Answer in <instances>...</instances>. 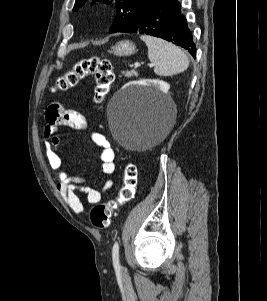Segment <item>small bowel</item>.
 Returning <instances> with one entry per match:
<instances>
[{"instance_id": "obj_1", "label": "small bowel", "mask_w": 267, "mask_h": 301, "mask_svg": "<svg viewBox=\"0 0 267 301\" xmlns=\"http://www.w3.org/2000/svg\"><path fill=\"white\" fill-rule=\"evenodd\" d=\"M43 136L45 156L50 168L57 178V188L65 203L77 214L84 211L79 193L86 196L88 203L97 204L101 201L104 193L113 186L111 178H106L99 189L90 188L85 185L82 178L74 177L62 166V159L57 152L56 145L59 141L57 132L61 127H69L75 130H85L87 121L85 116L79 111L67 109L59 103L51 104L45 113ZM91 141L100 149L99 161L101 171L105 175H112L115 171V153L108 139L97 132L90 134Z\"/></svg>"}]
</instances>
